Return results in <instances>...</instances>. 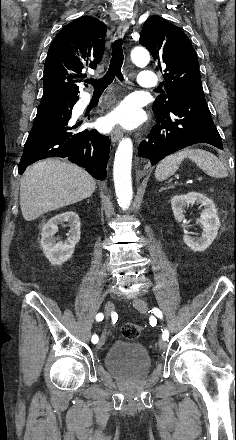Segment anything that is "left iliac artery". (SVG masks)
Listing matches in <instances>:
<instances>
[{"mask_svg":"<svg viewBox=\"0 0 236 440\" xmlns=\"http://www.w3.org/2000/svg\"><path fill=\"white\" fill-rule=\"evenodd\" d=\"M151 311H152V312H153L158 318H160V319L163 318L162 312H161L158 308L155 307V308H153ZM162 338H163L164 340H168V338H169V332H168L167 329H164V330H163Z\"/></svg>","mask_w":236,"mask_h":440,"instance_id":"44dca946","label":"left iliac artery"}]
</instances>
